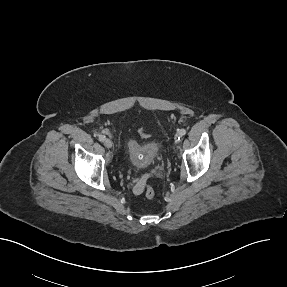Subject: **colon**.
I'll list each match as a JSON object with an SVG mask.
<instances>
[{
    "mask_svg": "<svg viewBox=\"0 0 287 287\" xmlns=\"http://www.w3.org/2000/svg\"><path fill=\"white\" fill-rule=\"evenodd\" d=\"M140 133L145 137L148 136V133L144 130H140ZM144 194H145L146 198H148V199H153L156 195L155 190L149 184L144 185Z\"/></svg>",
    "mask_w": 287,
    "mask_h": 287,
    "instance_id": "obj_1",
    "label": "colon"
}]
</instances>
